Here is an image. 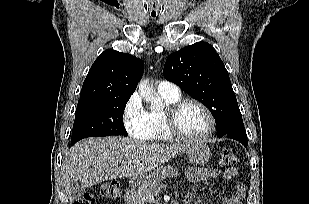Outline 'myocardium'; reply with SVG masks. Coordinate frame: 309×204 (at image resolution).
Returning <instances> with one entry per match:
<instances>
[{"label": "myocardium", "instance_id": "f54148a6", "mask_svg": "<svg viewBox=\"0 0 309 204\" xmlns=\"http://www.w3.org/2000/svg\"><path fill=\"white\" fill-rule=\"evenodd\" d=\"M187 104H195L200 107L204 113L206 114L209 122V128L205 134L202 136H190L182 132L178 126V115L181 109L186 106ZM164 121L167 128V131L174 139L183 140L186 142H203L209 139L214 131H215V119L210 111V109L201 101L194 99V98H183L179 99L176 102L170 104L166 107L164 112Z\"/></svg>", "mask_w": 309, "mask_h": 204}]
</instances>
